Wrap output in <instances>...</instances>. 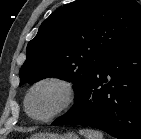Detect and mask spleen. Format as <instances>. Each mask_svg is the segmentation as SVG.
Instances as JSON below:
<instances>
[{"label":"spleen","mask_w":141,"mask_h":139,"mask_svg":"<svg viewBox=\"0 0 141 139\" xmlns=\"http://www.w3.org/2000/svg\"><path fill=\"white\" fill-rule=\"evenodd\" d=\"M79 133L83 135L85 139H103V134L97 130L82 129Z\"/></svg>","instance_id":"3e777b00"}]
</instances>
